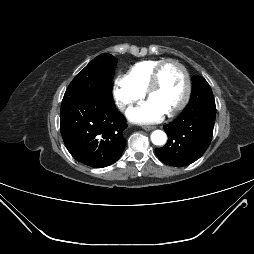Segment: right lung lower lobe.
<instances>
[{
	"instance_id": "obj_1",
	"label": "right lung lower lobe",
	"mask_w": 254,
	"mask_h": 254,
	"mask_svg": "<svg viewBox=\"0 0 254 254\" xmlns=\"http://www.w3.org/2000/svg\"><path fill=\"white\" fill-rule=\"evenodd\" d=\"M60 127L70 154L79 162L103 168L117 161L126 144V120L114 101L93 102L78 96H64Z\"/></svg>"
}]
</instances>
